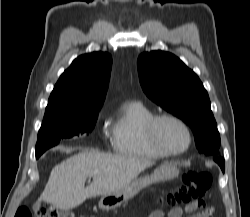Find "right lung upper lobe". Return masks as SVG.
Returning a JSON list of instances; mask_svg holds the SVG:
<instances>
[{
	"mask_svg": "<svg viewBox=\"0 0 250 217\" xmlns=\"http://www.w3.org/2000/svg\"><path fill=\"white\" fill-rule=\"evenodd\" d=\"M111 65V55L106 52L76 58L54 86L44 117L100 109L106 96Z\"/></svg>",
	"mask_w": 250,
	"mask_h": 217,
	"instance_id": "obj_1",
	"label": "right lung upper lobe"
}]
</instances>
